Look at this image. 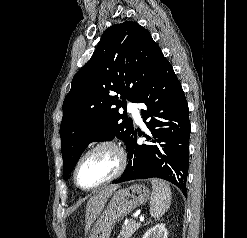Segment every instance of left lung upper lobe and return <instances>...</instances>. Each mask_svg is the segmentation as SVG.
<instances>
[{"mask_svg": "<svg viewBox=\"0 0 247 238\" xmlns=\"http://www.w3.org/2000/svg\"><path fill=\"white\" fill-rule=\"evenodd\" d=\"M164 59L150 33L137 22L115 24L103 33L91 59L73 77L63 102L64 179L91 142L117 137L128 144L133 121L118 109L126 100L139 103Z\"/></svg>", "mask_w": 247, "mask_h": 238, "instance_id": "5c2ea615", "label": "left lung upper lobe"}]
</instances>
